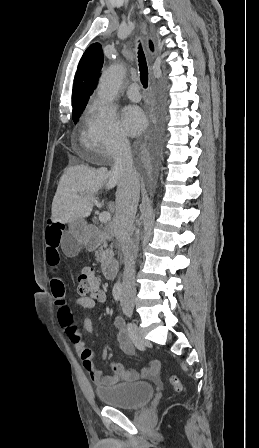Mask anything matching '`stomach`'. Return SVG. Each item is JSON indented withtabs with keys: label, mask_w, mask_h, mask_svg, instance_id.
Masks as SVG:
<instances>
[{
	"label": "stomach",
	"mask_w": 259,
	"mask_h": 448,
	"mask_svg": "<svg viewBox=\"0 0 259 448\" xmlns=\"http://www.w3.org/2000/svg\"><path fill=\"white\" fill-rule=\"evenodd\" d=\"M70 232L79 242H87L90 238V228L82 218L70 224Z\"/></svg>",
	"instance_id": "1"
}]
</instances>
